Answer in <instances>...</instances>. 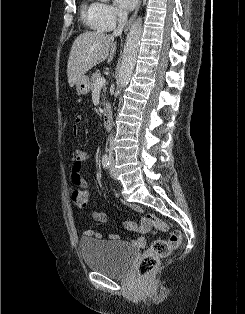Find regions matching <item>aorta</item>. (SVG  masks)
<instances>
[{"label":"aorta","instance_id":"aorta-1","mask_svg":"<svg viewBox=\"0 0 245 314\" xmlns=\"http://www.w3.org/2000/svg\"><path fill=\"white\" fill-rule=\"evenodd\" d=\"M103 2L107 0H101ZM142 34V19L138 18L130 27L126 38L121 65L119 68L120 86L125 87L132 76L139 51Z\"/></svg>","mask_w":245,"mask_h":314}]
</instances>
